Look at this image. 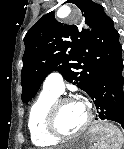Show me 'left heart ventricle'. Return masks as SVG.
Returning a JSON list of instances; mask_svg holds the SVG:
<instances>
[{"mask_svg": "<svg viewBox=\"0 0 124 149\" xmlns=\"http://www.w3.org/2000/svg\"><path fill=\"white\" fill-rule=\"evenodd\" d=\"M86 105L71 101L62 105L58 113V127L65 133H72L83 126L87 118Z\"/></svg>", "mask_w": 124, "mask_h": 149, "instance_id": "left-heart-ventricle-1", "label": "left heart ventricle"}]
</instances>
